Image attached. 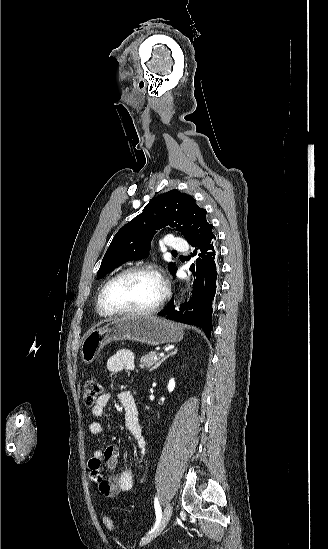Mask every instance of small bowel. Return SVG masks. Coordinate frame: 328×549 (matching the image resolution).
Masks as SVG:
<instances>
[{
  "instance_id": "obj_1",
  "label": "small bowel",
  "mask_w": 328,
  "mask_h": 549,
  "mask_svg": "<svg viewBox=\"0 0 328 549\" xmlns=\"http://www.w3.org/2000/svg\"><path fill=\"white\" fill-rule=\"evenodd\" d=\"M135 366L134 354L129 350H119L110 356L106 362V369L111 373H118L124 369L131 370ZM118 400L124 410V422L130 435L136 440L143 457L146 452V441L142 433V427L139 421L138 408L132 393L128 390H122L118 394ZM110 402L108 393L102 394L91 409V413L96 418L104 416L106 408ZM89 432L92 435H101L103 425L99 421L89 423ZM119 459V447L110 444L105 448L98 444L92 451V456L88 461L91 479L97 487L100 494L107 498H115L120 493L130 491L136 481V473L128 467H123L115 473ZM112 472L105 477L103 465Z\"/></svg>"
}]
</instances>
